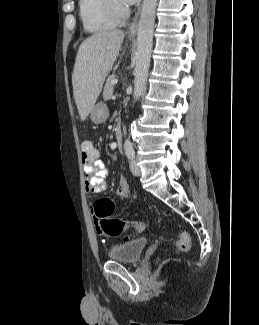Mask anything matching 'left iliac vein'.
Returning <instances> with one entry per match:
<instances>
[{
    "label": "left iliac vein",
    "instance_id": "left-iliac-vein-1",
    "mask_svg": "<svg viewBox=\"0 0 259 325\" xmlns=\"http://www.w3.org/2000/svg\"><path fill=\"white\" fill-rule=\"evenodd\" d=\"M130 170H131L132 174L135 175V176H140L141 175V169L137 165V162L134 159H132L131 162H130Z\"/></svg>",
    "mask_w": 259,
    "mask_h": 325
}]
</instances>
